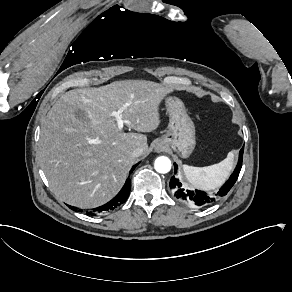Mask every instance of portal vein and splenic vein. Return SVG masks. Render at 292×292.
I'll return each mask as SVG.
<instances>
[{
	"label": "portal vein and splenic vein",
	"instance_id": "1",
	"mask_svg": "<svg viewBox=\"0 0 292 292\" xmlns=\"http://www.w3.org/2000/svg\"><path fill=\"white\" fill-rule=\"evenodd\" d=\"M122 112H123V110L119 109L118 111H113L111 114L112 116H114L116 118L118 128L120 130L123 128V124H124V121L122 120ZM126 123H129V122H126ZM91 142L93 143L94 141L91 140Z\"/></svg>",
	"mask_w": 292,
	"mask_h": 292
}]
</instances>
